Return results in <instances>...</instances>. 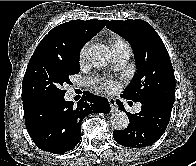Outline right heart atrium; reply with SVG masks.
<instances>
[{
  "label": "right heart atrium",
  "mask_w": 196,
  "mask_h": 166,
  "mask_svg": "<svg viewBox=\"0 0 196 166\" xmlns=\"http://www.w3.org/2000/svg\"><path fill=\"white\" fill-rule=\"evenodd\" d=\"M88 50H89V44H85L81 51H80V54H79V58H80V61L83 62L86 60L87 58V55H88Z\"/></svg>",
  "instance_id": "right-heart-atrium-1"
}]
</instances>
